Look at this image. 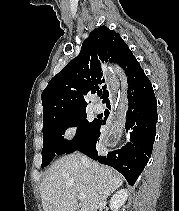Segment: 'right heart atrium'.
Returning a JSON list of instances; mask_svg holds the SVG:
<instances>
[{
  "mask_svg": "<svg viewBox=\"0 0 179 211\" xmlns=\"http://www.w3.org/2000/svg\"><path fill=\"white\" fill-rule=\"evenodd\" d=\"M78 131V126L75 123H69L66 125L63 131V138L66 140L72 139Z\"/></svg>",
  "mask_w": 179,
  "mask_h": 211,
  "instance_id": "d8ad5b80",
  "label": "right heart atrium"
}]
</instances>
